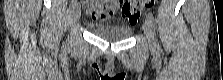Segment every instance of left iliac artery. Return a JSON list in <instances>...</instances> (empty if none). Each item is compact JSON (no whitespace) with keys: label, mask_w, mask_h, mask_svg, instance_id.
Wrapping results in <instances>:
<instances>
[{"label":"left iliac artery","mask_w":223,"mask_h":80,"mask_svg":"<svg viewBox=\"0 0 223 80\" xmlns=\"http://www.w3.org/2000/svg\"><path fill=\"white\" fill-rule=\"evenodd\" d=\"M147 18H148L149 22L151 23V25L154 27L155 20H154V17L151 12L148 13ZM155 46H156L157 50H160V46L157 41H155Z\"/></svg>","instance_id":"44dca946"}]
</instances>
